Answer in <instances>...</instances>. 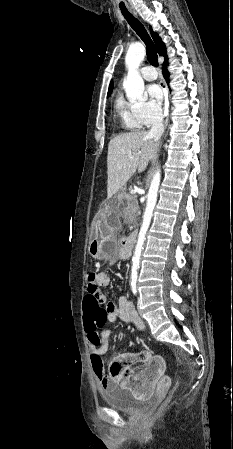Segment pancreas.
<instances>
[{
    "label": "pancreas",
    "instance_id": "pancreas-1",
    "mask_svg": "<svg viewBox=\"0 0 233 449\" xmlns=\"http://www.w3.org/2000/svg\"><path fill=\"white\" fill-rule=\"evenodd\" d=\"M124 198L127 200V207L123 209L125 216H136L138 211L136 196L127 194L124 196Z\"/></svg>",
    "mask_w": 233,
    "mask_h": 449
}]
</instances>
